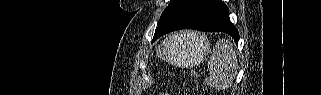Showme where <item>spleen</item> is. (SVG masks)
I'll use <instances>...</instances> for the list:
<instances>
[{
	"mask_svg": "<svg viewBox=\"0 0 321 95\" xmlns=\"http://www.w3.org/2000/svg\"><path fill=\"white\" fill-rule=\"evenodd\" d=\"M237 55L230 40H219L208 61L207 85L218 90L229 88L236 75Z\"/></svg>",
	"mask_w": 321,
	"mask_h": 95,
	"instance_id": "obj_1",
	"label": "spleen"
}]
</instances>
